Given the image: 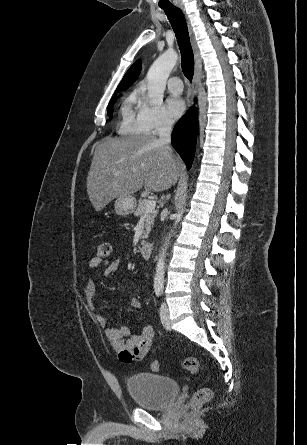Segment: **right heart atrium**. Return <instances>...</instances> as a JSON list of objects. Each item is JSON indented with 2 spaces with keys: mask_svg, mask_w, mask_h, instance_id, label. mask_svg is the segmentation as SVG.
<instances>
[{
  "mask_svg": "<svg viewBox=\"0 0 307 445\" xmlns=\"http://www.w3.org/2000/svg\"><path fill=\"white\" fill-rule=\"evenodd\" d=\"M143 107L139 113V122L142 129L152 135H159L169 130L174 123L173 118L166 109L153 102L146 93L139 91Z\"/></svg>",
  "mask_w": 307,
  "mask_h": 445,
  "instance_id": "1",
  "label": "right heart atrium"
}]
</instances>
